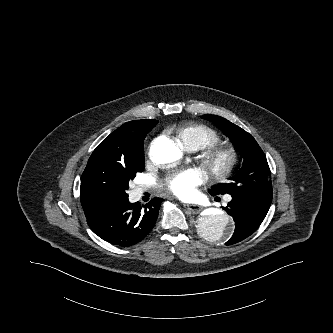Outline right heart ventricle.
Segmentation results:
<instances>
[{
  "instance_id": "1",
  "label": "right heart ventricle",
  "mask_w": 333,
  "mask_h": 333,
  "mask_svg": "<svg viewBox=\"0 0 333 333\" xmlns=\"http://www.w3.org/2000/svg\"><path fill=\"white\" fill-rule=\"evenodd\" d=\"M176 138L184 148L203 149L217 145L220 134L205 125L183 124L176 128Z\"/></svg>"
}]
</instances>
